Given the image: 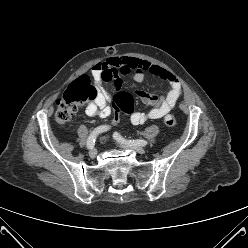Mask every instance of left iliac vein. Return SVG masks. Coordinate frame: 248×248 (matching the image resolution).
Returning <instances> with one entry per match:
<instances>
[{
    "label": "left iliac vein",
    "mask_w": 248,
    "mask_h": 248,
    "mask_svg": "<svg viewBox=\"0 0 248 248\" xmlns=\"http://www.w3.org/2000/svg\"><path fill=\"white\" fill-rule=\"evenodd\" d=\"M119 146H121L122 148H125V149H131L133 151H136L140 154H144L145 153V149L140 147V146H137V145H129V144H126V143H121L119 141L116 142Z\"/></svg>",
    "instance_id": "4c4485c4"
}]
</instances>
